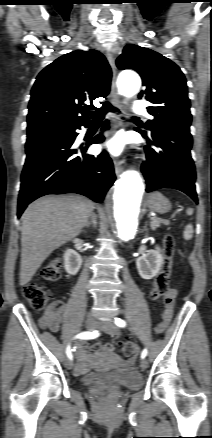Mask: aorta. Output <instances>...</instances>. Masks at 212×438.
<instances>
[{"label":"aorta","mask_w":212,"mask_h":438,"mask_svg":"<svg viewBox=\"0 0 212 438\" xmlns=\"http://www.w3.org/2000/svg\"><path fill=\"white\" fill-rule=\"evenodd\" d=\"M141 86L140 77L134 72H123L119 76L118 88L122 95L132 97ZM144 184L135 170L124 172L116 182L112 199L108 202L116 236L126 242L134 238L140 217V203Z\"/></svg>","instance_id":"obj_1"}]
</instances>
